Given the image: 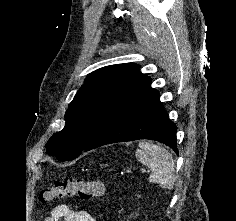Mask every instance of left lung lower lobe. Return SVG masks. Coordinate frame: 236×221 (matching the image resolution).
I'll use <instances>...</instances> for the list:
<instances>
[{
    "label": "left lung lower lobe",
    "instance_id": "left-lung-lower-lobe-1",
    "mask_svg": "<svg viewBox=\"0 0 236 221\" xmlns=\"http://www.w3.org/2000/svg\"><path fill=\"white\" fill-rule=\"evenodd\" d=\"M150 83L148 78L110 113L85 151L116 142L151 139L166 144L178 154L177 127L168 119L158 91Z\"/></svg>",
    "mask_w": 236,
    "mask_h": 221
}]
</instances>
